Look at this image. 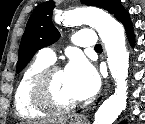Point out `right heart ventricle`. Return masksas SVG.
Wrapping results in <instances>:
<instances>
[{"instance_id":"right-heart-ventricle-1","label":"right heart ventricle","mask_w":145,"mask_h":124,"mask_svg":"<svg viewBox=\"0 0 145 124\" xmlns=\"http://www.w3.org/2000/svg\"><path fill=\"white\" fill-rule=\"evenodd\" d=\"M50 64V62L38 56L21 75L14 95L15 109L20 117L28 119L47 115V111L38 109L32 103L31 88L37 75Z\"/></svg>"}]
</instances>
